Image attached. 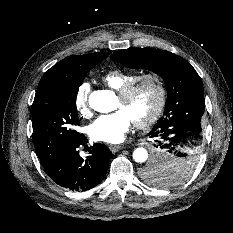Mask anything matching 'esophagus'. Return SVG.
Listing matches in <instances>:
<instances>
[{"mask_svg":"<svg viewBox=\"0 0 233 233\" xmlns=\"http://www.w3.org/2000/svg\"><path fill=\"white\" fill-rule=\"evenodd\" d=\"M109 148L111 152L115 153L122 148V145H110Z\"/></svg>","mask_w":233,"mask_h":233,"instance_id":"obj_1","label":"esophagus"}]
</instances>
